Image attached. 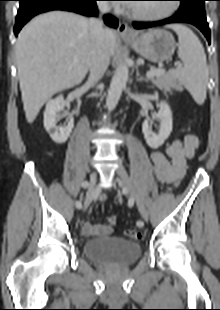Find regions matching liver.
I'll return each mask as SVG.
<instances>
[{
	"instance_id": "6515ba94",
	"label": "liver",
	"mask_w": 220,
	"mask_h": 310,
	"mask_svg": "<svg viewBox=\"0 0 220 310\" xmlns=\"http://www.w3.org/2000/svg\"><path fill=\"white\" fill-rule=\"evenodd\" d=\"M107 30L111 56L117 39ZM15 54L25 116L32 123L48 99L85 78L91 56L89 20L63 11L39 15L19 33Z\"/></svg>"
}]
</instances>
